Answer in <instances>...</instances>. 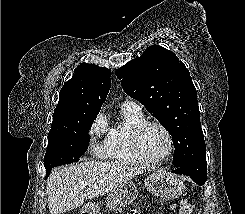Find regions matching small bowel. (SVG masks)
<instances>
[{"label": "small bowel", "mask_w": 245, "mask_h": 214, "mask_svg": "<svg viewBox=\"0 0 245 214\" xmlns=\"http://www.w3.org/2000/svg\"><path fill=\"white\" fill-rule=\"evenodd\" d=\"M129 214H138L137 211L135 209H132L129 211Z\"/></svg>", "instance_id": "small-bowel-1"}]
</instances>
